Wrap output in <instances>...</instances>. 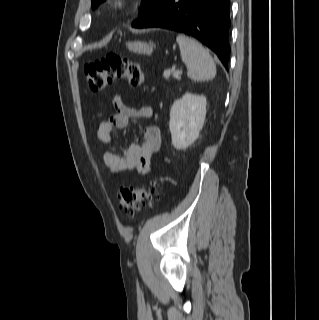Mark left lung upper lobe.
Wrapping results in <instances>:
<instances>
[{
    "mask_svg": "<svg viewBox=\"0 0 319 320\" xmlns=\"http://www.w3.org/2000/svg\"><path fill=\"white\" fill-rule=\"evenodd\" d=\"M105 0H92V8H97ZM160 0H142L139 18L147 15Z\"/></svg>",
    "mask_w": 319,
    "mask_h": 320,
    "instance_id": "1",
    "label": "left lung upper lobe"
}]
</instances>
